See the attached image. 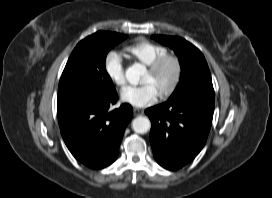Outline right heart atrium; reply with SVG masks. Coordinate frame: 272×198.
Listing matches in <instances>:
<instances>
[{
  "label": "right heart atrium",
  "instance_id": "1",
  "mask_svg": "<svg viewBox=\"0 0 272 198\" xmlns=\"http://www.w3.org/2000/svg\"><path fill=\"white\" fill-rule=\"evenodd\" d=\"M103 67L106 76L115 86L122 88L126 84L125 67L120 53L108 52L104 58Z\"/></svg>",
  "mask_w": 272,
  "mask_h": 198
}]
</instances>
